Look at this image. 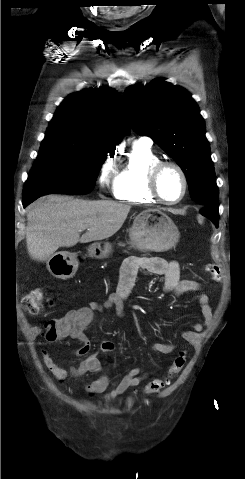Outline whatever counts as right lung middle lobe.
Instances as JSON below:
<instances>
[{
    "instance_id": "dd1d6c3e",
    "label": "right lung middle lobe",
    "mask_w": 245,
    "mask_h": 479,
    "mask_svg": "<svg viewBox=\"0 0 245 479\" xmlns=\"http://www.w3.org/2000/svg\"><path fill=\"white\" fill-rule=\"evenodd\" d=\"M112 149L56 134H45L39 155L25 182L23 198L62 193L91 192L98 172Z\"/></svg>"
}]
</instances>
